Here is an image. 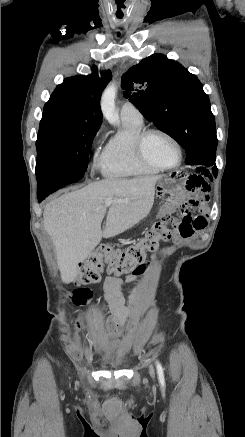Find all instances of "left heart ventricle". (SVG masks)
Segmentation results:
<instances>
[{
	"label": "left heart ventricle",
	"instance_id": "b2bd125f",
	"mask_svg": "<svg viewBox=\"0 0 245 437\" xmlns=\"http://www.w3.org/2000/svg\"><path fill=\"white\" fill-rule=\"evenodd\" d=\"M144 151L149 159L164 166L174 165L178 160L176 147L160 134H151L146 138Z\"/></svg>",
	"mask_w": 245,
	"mask_h": 437
}]
</instances>
